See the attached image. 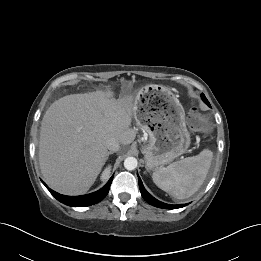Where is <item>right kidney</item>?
<instances>
[{"mask_svg":"<svg viewBox=\"0 0 261 261\" xmlns=\"http://www.w3.org/2000/svg\"><path fill=\"white\" fill-rule=\"evenodd\" d=\"M111 166H108L102 173L101 179H106L110 174Z\"/></svg>","mask_w":261,"mask_h":261,"instance_id":"1","label":"right kidney"}]
</instances>
